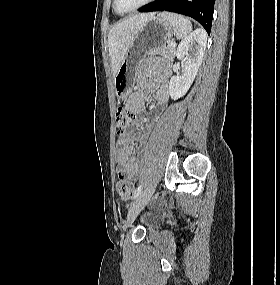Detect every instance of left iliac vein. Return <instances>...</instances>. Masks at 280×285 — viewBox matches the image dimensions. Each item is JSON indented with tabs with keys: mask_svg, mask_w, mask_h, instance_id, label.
I'll use <instances>...</instances> for the list:
<instances>
[{
	"mask_svg": "<svg viewBox=\"0 0 280 285\" xmlns=\"http://www.w3.org/2000/svg\"><path fill=\"white\" fill-rule=\"evenodd\" d=\"M155 182L149 184L146 189L137 197V199L131 205L128 211L127 221L125 223V228L133 223L137 215L142 211V209L146 206L148 201L150 200L152 194L155 190Z\"/></svg>",
	"mask_w": 280,
	"mask_h": 285,
	"instance_id": "left-iliac-vein-1",
	"label": "left iliac vein"
}]
</instances>
